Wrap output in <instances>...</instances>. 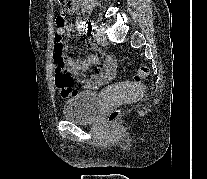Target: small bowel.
Here are the masks:
<instances>
[{
    "mask_svg": "<svg viewBox=\"0 0 207 179\" xmlns=\"http://www.w3.org/2000/svg\"><path fill=\"white\" fill-rule=\"evenodd\" d=\"M81 0H69L56 18V34L61 36L68 34L70 31L67 25V16L77 13ZM94 53L89 54L87 57L80 59L72 55L66 57V62L72 75L76 78L78 84L84 89H97L101 86L111 82L116 75V60L107 53H102L99 56V49L94 44L88 45ZM95 67L94 74L87 76L85 71L90 66Z\"/></svg>",
    "mask_w": 207,
    "mask_h": 179,
    "instance_id": "small-bowel-1",
    "label": "small bowel"
}]
</instances>
